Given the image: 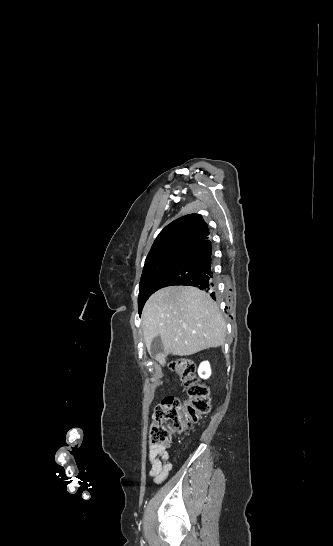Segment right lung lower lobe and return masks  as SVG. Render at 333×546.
I'll list each match as a JSON object with an SVG mask.
<instances>
[{
    "label": "right lung lower lobe",
    "instance_id": "right-lung-lower-lobe-1",
    "mask_svg": "<svg viewBox=\"0 0 333 546\" xmlns=\"http://www.w3.org/2000/svg\"><path fill=\"white\" fill-rule=\"evenodd\" d=\"M212 263V242L208 238L174 263L157 281L155 291L171 285H187L205 290L216 299Z\"/></svg>",
    "mask_w": 333,
    "mask_h": 546
}]
</instances>
